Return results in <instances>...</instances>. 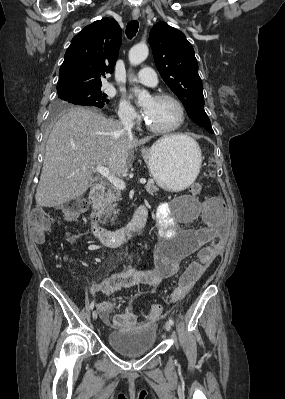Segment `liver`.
<instances>
[{"mask_svg": "<svg viewBox=\"0 0 285 399\" xmlns=\"http://www.w3.org/2000/svg\"><path fill=\"white\" fill-rule=\"evenodd\" d=\"M150 139H135L120 122L96 111L70 109L48 137L37 206L56 207L82 196L93 182L95 166L108 167L114 176L124 175L133 163L131 151Z\"/></svg>", "mask_w": 285, "mask_h": 399, "instance_id": "liver-1", "label": "liver"}]
</instances>
